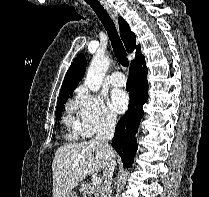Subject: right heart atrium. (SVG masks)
I'll return each instance as SVG.
<instances>
[{"instance_id":"obj_1","label":"right heart atrium","mask_w":209,"mask_h":197,"mask_svg":"<svg viewBox=\"0 0 209 197\" xmlns=\"http://www.w3.org/2000/svg\"><path fill=\"white\" fill-rule=\"evenodd\" d=\"M72 107L78 115L81 134L85 137L110 129L116 123V116L106 105L105 99L85 89L78 91Z\"/></svg>"}]
</instances>
